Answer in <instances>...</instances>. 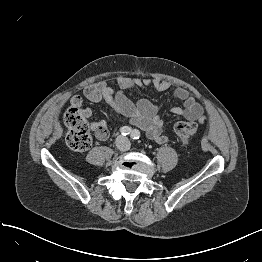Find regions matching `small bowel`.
<instances>
[{"label": "small bowel", "instance_id": "obj_1", "mask_svg": "<svg viewBox=\"0 0 262 262\" xmlns=\"http://www.w3.org/2000/svg\"><path fill=\"white\" fill-rule=\"evenodd\" d=\"M121 90L115 91L105 82L87 85L84 88L85 98L92 104L101 101L107 103L120 119H128L132 124L147 132L150 139L159 144L168 142V137L163 133L164 122L158 113V107L148 99L133 101L129 99L122 90L134 88L150 89L157 91H167L171 86V81L159 78H131L122 76L118 82ZM174 98L182 100L181 106L170 108L172 115L179 116L186 121L203 124L207 122L202 105L195 99L193 94L184 88H179L174 92ZM71 102L77 106L82 105L79 96L71 98ZM87 116L91 115L90 110L85 111ZM90 128L94 131L100 141H105L109 137L107 122L92 121Z\"/></svg>", "mask_w": 262, "mask_h": 262}]
</instances>
